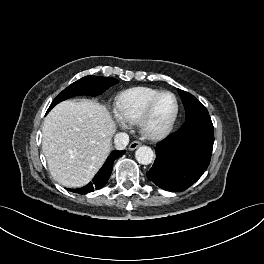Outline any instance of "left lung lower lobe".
Returning a JSON list of instances; mask_svg holds the SVG:
<instances>
[{
  "label": "left lung lower lobe",
  "instance_id": "0a47b994",
  "mask_svg": "<svg viewBox=\"0 0 264 264\" xmlns=\"http://www.w3.org/2000/svg\"><path fill=\"white\" fill-rule=\"evenodd\" d=\"M214 143L211 119L182 126L155 147L156 159L146 174L160 188L179 192L194 184L209 166Z\"/></svg>",
  "mask_w": 264,
  "mask_h": 264
}]
</instances>
